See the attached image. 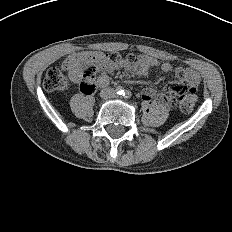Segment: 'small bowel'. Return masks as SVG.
<instances>
[{"label": "small bowel", "instance_id": "obj_1", "mask_svg": "<svg viewBox=\"0 0 232 232\" xmlns=\"http://www.w3.org/2000/svg\"><path fill=\"white\" fill-rule=\"evenodd\" d=\"M65 68L68 70V76L71 82L78 83L81 80V72L74 58H70L65 63ZM125 68L136 75H146L151 69L155 68L163 73H173L177 80L169 85L166 91L179 84H186L189 87L197 88L200 82V75L196 71L183 67H174L168 62H160L156 58L146 55L139 57L137 65L133 67L125 66ZM108 82L109 78L105 74L99 76L97 80V84L102 87L106 86ZM142 97L146 101H151L156 97V91L152 88H146L142 92Z\"/></svg>", "mask_w": 232, "mask_h": 232}]
</instances>
